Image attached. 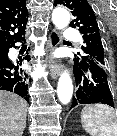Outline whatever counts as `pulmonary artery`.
Returning a JSON list of instances; mask_svg holds the SVG:
<instances>
[{
    "mask_svg": "<svg viewBox=\"0 0 117 136\" xmlns=\"http://www.w3.org/2000/svg\"><path fill=\"white\" fill-rule=\"evenodd\" d=\"M64 36L67 39L74 40V41H77V42L82 41L81 36L77 33V31L70 29V28H67L65 30Z\"/></svg>",
    "mask_w": 117,
    "mask_h": 136,
    "instance_id": "pulmonary-artery-1",
    "label": "pulmonary artery"
}]
</instances>
